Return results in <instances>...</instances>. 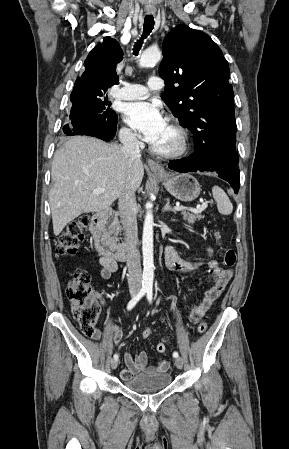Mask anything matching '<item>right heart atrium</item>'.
<instances>
[{"instance_id":"d8ad5b80","label":"right heart atrium","mask_w":289,"mask_h":449,"mask_svg":"<svg viewBox=\"0 0 289 449\" xmlns=\"http://www.w3.org/2000/svg\"><path fill=\"white\" fill-rule=\"evenodd\" d=\"M121 139L126 144H134L136 143V135L129 128H122L120 132Z\"/></svg>"}]
</instances>
